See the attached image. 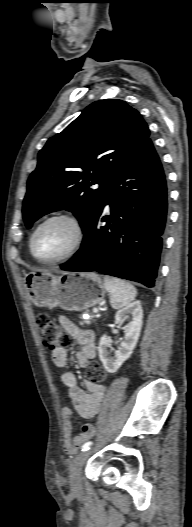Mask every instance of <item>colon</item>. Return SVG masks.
Wrapping results in <instances>:
<instances>
[{
	"instance_id": "colon-1",
	"label": "colon",
	"mask_w": 192,
	"mask_h": 527,
	"mask_svg": "<svg viewBox=\"0 0 192 527\" xmlns=\"http://www.w3.org/2000/svg\"><path fill=\"white\" fill-rule=\"evenodd\" d=\"M36 323L40 332L42 342L45 347L54 350L64 347L69 343L68 334L62 327L47 314H39L36 317ZM88 381L93 384L102 385L106 379V374L98 362H90L86 372Z\"/></svg>"
}]
</instances>
